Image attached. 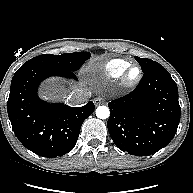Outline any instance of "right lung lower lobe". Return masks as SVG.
Segmentation results:
<instances>
[{
    "label": "right lung lower lobe",
    "instance_id": "98d812e1",
    "mask_svg": "<svg viewBox=\"0 0 193 193\" xmlns=\"http://www.w3.org/2000/svg\"><path fill=\"white\" fill-rule=\"evenodd\" d=\"M51 76L76 79L72 71L19 69L11 81L7 105L17 138L27 149L43 157L61 156L71 151L82 123L95 108L92 101L83 107L74 108L39 99V84Z\"/></svg>",
    "mask_w": 193,
    "mask_h": 193
}]
</instances>
